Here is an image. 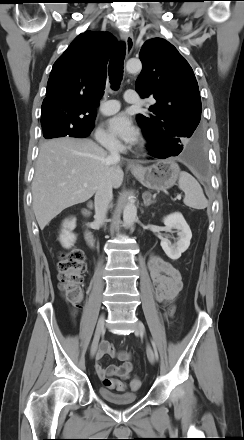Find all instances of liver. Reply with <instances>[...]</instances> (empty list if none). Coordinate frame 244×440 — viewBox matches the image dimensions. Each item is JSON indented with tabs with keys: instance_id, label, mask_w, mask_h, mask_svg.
Segmentation results:
<instances>
[{
	"instance_id": "liver-1",
	"label": "liver",
	"mask_w": 244,
	"mask_h": 440,
	"mask_svg": "<svg viewBox=\"0 0 244 440\" xmlns=\"http://www.w3.org/2000/svg\"><path fill=\"white\" fill-rule=\"evenodd\" d=\"M123 177L120 160L110 162L107 152L90 139L44 142L32 182V207L40 229L64 209L89 200L103 179L117 189Z\"/></svg>"
}]
</instances>
